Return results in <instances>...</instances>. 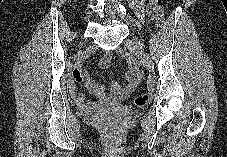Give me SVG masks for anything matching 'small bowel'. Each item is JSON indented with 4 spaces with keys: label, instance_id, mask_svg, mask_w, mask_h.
Segmentation results:
<instances>
[{
    "label": "small bowel",
    "instance_id": "small-bowel-1",
    "mask_svg": "<svg viewBox=\"0 0 227 157\" xmlns=\"http://www.w3.org/2000/svg\"><path fill=\"white\" fill-rule=\"evenodd\" d=\"M109 63L108 56H105L101 65L106 67ZM129 63V71L126 77V84L124 86H120L117 83H112L110 86V94H107L104 88L98 85L94 80L90 78V76L81 69H75L71 75L70 82V94L74 101L82 108L86 109H97L101 107L106 101H117L123 100L126 98L132 90L135 88L137 81L140 77V71L136 67V65L128 60ZM83 82L91 94L95 97V100L87 99L83 94L79 93L77 90V83Z\"/></svg>",
    "mask_w": 227,
    "mask_h": 157
}]
</instances>
